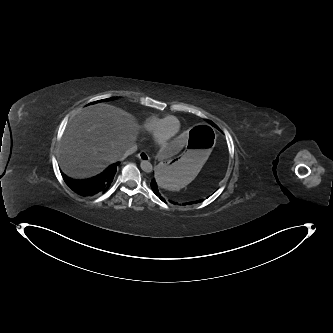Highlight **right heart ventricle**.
Masks as SVG:
<instances>
[{
  "instance_id": "e07e8e85",
  "label": "right heart ventricle",
  "mask_w": 333,
  "mask_h": 333,
  "mask_svg": "<svg viewBox=\"0 0 333 333\" xmlns=\"http://www.w3.org/2000/svg\"><path fill=\"white\" fill-rule=\"evenodd\" d=\"M168 116L170 115H164V116L153 115L146 118L141 124V130L147 134H155L159 129L162 121ZM175 120L177 122L178 128H180V120L178 118H176Z\"/></svg>"
}]
</instances>
